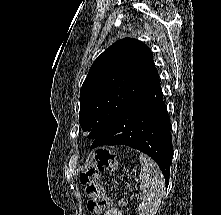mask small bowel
<instances>
[{"instance_id": "1", "label": "small bowel", "mask_w": 221, "mask_h": 215, "mask_svg": "<svg viewBox=\"0 0 221 215\" xmlns=\"http://www.w3.org/2000/svg\"><path fill=\"white\" fill-rule=\"evenodd\" d=\"M104 215H122V213L116 208H111Z\"/></svg>"}]
</instances>
